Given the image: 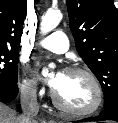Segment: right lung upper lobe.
Masks as SVG:
<instances>
[{
    "label": "right lung upper lobe",
    "mask_w": 118,
    "mask_h": 123,
    "mask_svg": "<svg viewBox=\"0 0 118 123\" xmlns=\"http://www.w3.org/2000/svg\"><path fill=\"white\" fill-rule=\"evenodd\" d=\"M26 0H0V48L19 49Z\"/></svg>",
    "instance_id": "obj_1"
}]
</instances>
